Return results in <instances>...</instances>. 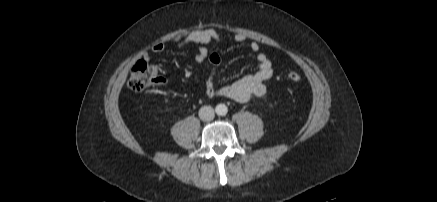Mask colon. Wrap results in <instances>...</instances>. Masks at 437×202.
<instances>
[{"mask_svg": "<svg viewBox=\"0 0 437 202\" xmlns=\"http://www.w3.org/2000/svg\"><path fill=\"white\" fill-rule=\"evenodd\" d=\"M287 79L291 82H298L301 76L298 72L291 71L287 74ZM162 81L160 69L157 65L140 60L131 69L128 85L132 91L141 92Z\"/></svg>", "mask_w": 437, "mask_h": 202, "instance_id": "5ec220e1", "label": "colon"}]
</instances>
